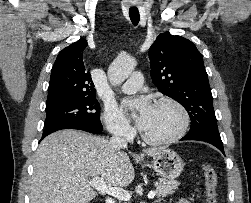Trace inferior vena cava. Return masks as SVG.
<instances>
[{"label": "inferior vena cava", "instance_id": "obj_1", "mask_svg": "<svg viewBox=\"0 0 251 203\" xmlns=\"http://www.w3.org/2000/svg\"><path fill=\"white\" fill-rule=\"evenodd\" d=\"M110 144H111L112 148L116 149V150L127 147L126 140L118 132H114L113 136L110 139Z\"/></svg>", "mask_w": 251, "mask_h": 203}]
</instances>
